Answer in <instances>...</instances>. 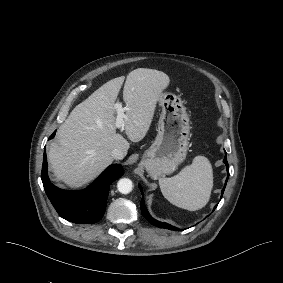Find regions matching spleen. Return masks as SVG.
<instances>
[{"label": "spleen", "instance_id": "3e777b00", "mask_svg": "<svg viewBox=\"0 0 283 283\" xmlns=\"http://www.w3.org/2000/svg\"><path fill=\"white\" fill-rule=\"evenodd\" d=\"M163 196L173 205L191 212L199 211L210 201L214 188V170L211 161L202 155L179 175L159 179Z\"/></svg>", "mask_w": 283, "mask_h": 283}]
</instances>
